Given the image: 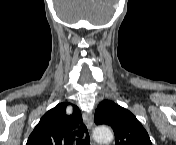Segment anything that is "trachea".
<instances>
[{
  "label": "trachea",
  "instance_id": "3493384b",
  "mask_svg": "<svg viewBox=\"0 0 176 145\" xmlns=\"http://www.w3.org/2000/svg\"><path fill=\"white\" fill-rule=\"evenodd\" d=\"M78 132L82 135L84 132H87V128L84 125H81ZM76 145H90V137L88 133L85 139H76Z\"/></svg>",
  "mask_w": 176,
  "mask_h": 145
}]
</instances>
